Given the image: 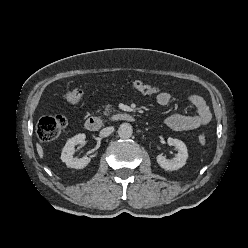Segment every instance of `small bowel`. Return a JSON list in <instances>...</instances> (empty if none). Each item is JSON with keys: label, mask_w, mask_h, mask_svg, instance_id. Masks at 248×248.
Masks as SVG:
<instances>
[{"label": "small bowel", "mask_w": 248, "mask_h": 248, "mask_svg": "<svg viewBox=\"0 0 248 248\" xmlns=\"http://www.w3.org/2000/svg\"><path fill=\"white\" fill-rule=\"evenodd\" d=\"M156 100L159 105L166 106L171 101V94L162 91L158 93ZM188 101L193 105L196 113L191 116L170 115L164 120L167 127L176 131H186L197 129L210 123L212 114L204 98L200 95L192 94L188 96Z\"/></svg>", "instance_id": "small-bowel-1"}]
</instances>
